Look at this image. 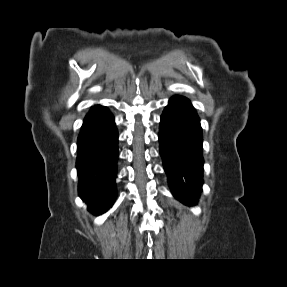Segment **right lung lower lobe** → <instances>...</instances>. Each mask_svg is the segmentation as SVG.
<instances>
[{"instance_id":"98d812e1","label":"right lung lower lobe","mask_w":287,"mask_h":287,"mask_svg":"<svg viewBox=\"0 0 287 287\" xmlns=\"http://www.w3.org/2000/svg\"><path fill=\"white\" fill-rule=\"evenodd\" d=\"M118 131L111 112L95 105L86 115L77 142L78 192L95 215L116 199Z\"/></svg>"}]
</instances>
